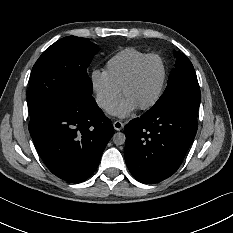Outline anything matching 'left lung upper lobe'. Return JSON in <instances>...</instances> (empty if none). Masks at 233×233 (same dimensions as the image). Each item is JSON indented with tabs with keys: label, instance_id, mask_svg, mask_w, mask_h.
Returning a JSON list of instances; mask_svg holds the SVG:
<instances>
[{
	"label": "left lung upper lobe",
	"instance_id": "5c2ea615",
	"mask_svg": "<svg viewBox=\"0 0 233 233\" xmlns=\"http://www.w3.org/2000/svg\"><path fill=\"white\" fill-rule=\"evenodd\" d=\"M174 55L176 56V64L169 76L165 92L147 111L149 113L179 109L198 112L201 93L193 65L185 54L175 51Z\"/></svg>",
	"mask_w": 233,
	"mask_h": 233
}]
</instances>
